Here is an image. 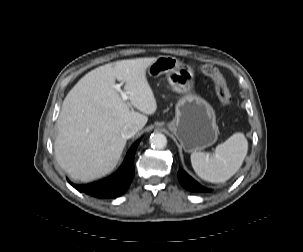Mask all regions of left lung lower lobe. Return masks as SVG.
Instances as JSON below:
<instances>
[{
	"label": "left lung lower lobe",
	"instance_id": "0a47b994",
	"mask_svg": "<svg viewBox=\"0 0 303 252\" xmlns=\"http://www.w3.org/2000/svg\"><path fill=\"white\" fill-rule=\"evenodd\" d=\"M177 176L181 185L192 192H211L210 189L201 186L183 170H179Z\"/></svg>",
	"mask_w": 303,
	"mask_h": 252
}]
</instances>
